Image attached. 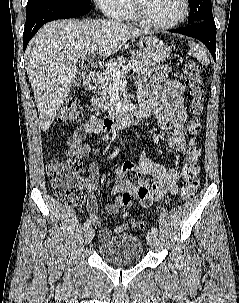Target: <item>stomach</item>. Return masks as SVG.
<instances>
[{
	"instance_id": "1",
	"label": "stomach",
	"mask_w": 239,
	"mask_h": 303,
	"mask_svg": "<svg viewBox=\"0 0 239 303\" xmlns=\"http://www.w3.org/2000/svg\"><path fill=\"white\" fill-rule=\"evenodd\" d=\"M139 52L153 62L159 63L168 59L171 49L170 47L154 36L141 37L137 41Z\"/></svg>"
}]
</instances>
